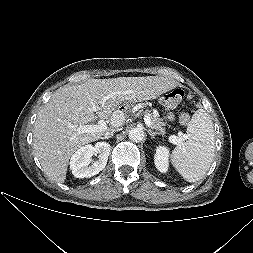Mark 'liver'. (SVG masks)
I'll return each instance as SVG.
<instances>
[{"label": "liver", "instance_id": "6515ba94", "mask_svg": "<svg viewBox=\"0 0 253 253\" xmlns=\"http://www.w3.org/2000/svg\"><path fill=\"white\" fill-rule=\"evenodd\" d=\"M176 86L174 80L147 76L89 79L57 89L39 111L33 130V148L44 173L52 181L63 183L69 159L78 148L123 125L124 114L115 111L122 103L156 99ZM104 98L107 99L103 102ZM93 105H98L96 111L92 110ZM114 113L120 118L114 120ZM110 117L111 127L102 132L76 131L97 118Z\"/></svg>", "mask_w": 253, "mask_h": 253}]
</instances>
